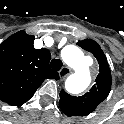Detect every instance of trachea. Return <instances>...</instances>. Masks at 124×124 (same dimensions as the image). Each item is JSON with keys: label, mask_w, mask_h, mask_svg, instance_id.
Segmentation results:
<instances>
[{"label": "trachea", "mask_w": 124, "mask_h": 124, "mask_svg": "<svg viewBox=\"0 0 124 124\" xmlns=\"http://www.w3.org/2000/svg\"><path fill=\"white\" fill-rule=\"evenodd\" d=\"M62 65H63V63L60 59H53L50 62L51 68L55 71H59L61 69Z\"/></svg>", "instance_id": "trachea-1"}]
</instances>
